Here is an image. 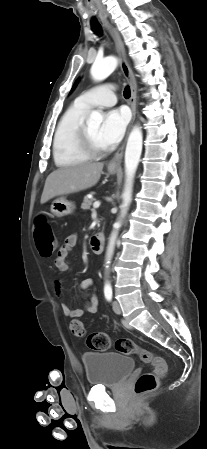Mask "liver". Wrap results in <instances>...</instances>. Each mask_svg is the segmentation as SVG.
I'll return each instance as SVG.
<instances>
[{
	"instance_id": "obj_1",
	"label": "liver",
	"mask_w": 207,
	"mask_h": 449,
	"mask_svg": "<svg viewBox=\"0 0 207 449\" xmlns=\"http://www.w3.org/2000/svg\"><path fill=\"white\" fill-rule=\"evenodd\" d=\"M103 163H83L53 171L46 179L41 204L50 199L94 186L100 179Z\"/></svg>"
}]
</instances>
